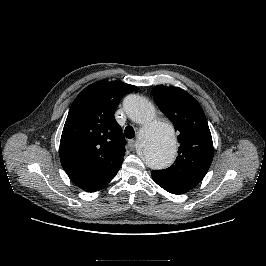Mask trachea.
Instances as JSON below:
<instances>
[{
  "label": "trachea",
  "mask_w": 266,
  "mask_h": 266,
  "mask_svg": "<svg viewBox=\"0 0 266 266\" xmlns=\"http://www.w3.org/2000/svg\"><path fill=\"white\" fill-rule=\"evenodd\" d=\"M124 134L127 138L131 139L135 137V131L133 129V127L131 126H127L124 130Z\"/></svg>",
  "instance_id": "trachea-1"
}]
</instances>
